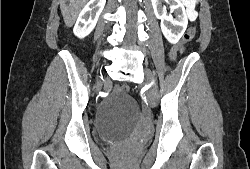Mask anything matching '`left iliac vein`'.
<instances>
[{
    "label": "left iliac vein",
    "instance_id": "4c4485c4",
    "mask_svg": "<svg viewBox=\"0 0 250 169\" xmlns=\"http://www.w3.org/2000/svg\"><path fill=\"white\" fill-rule=\"evenodd\" d=\"M144 74H145L144 83H148V84L151 83L152 84L150 90L147 92L148 104L150 106H155L156 98L158 95L157 86L155 84V76H154L153 72L148 68L144 69Z\"/></svg>",
    "mask_w": 250,
    "mask_h": 169
}]
</instances>
